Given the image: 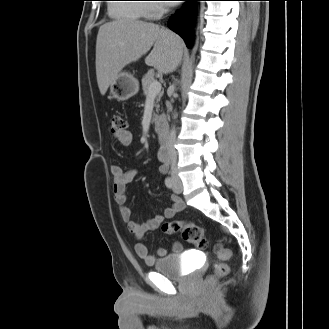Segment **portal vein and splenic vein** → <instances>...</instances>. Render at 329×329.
<instances>
[{
    "instance_id": "portal-vein-and-splenic-vein-1",
    "label": "portal vein and splenic vein",
    "mask_w": 329,
    "mask_h": 329,
    "mask_svg": "<svg viewBox=\"0 0 329 329\" xmlns=\"http://www.w3.org/2000/svg\"><path fill=\"white\" fill-rule=\"evenodd\" d=\"M161 83L157 80L153 81L149 87V96H155L161 91Z\"/></svg>"
}]
</instances>
